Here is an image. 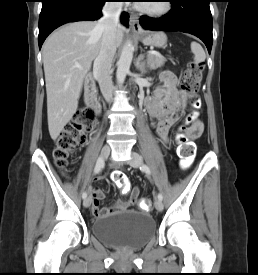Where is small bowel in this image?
Segmentation results:
<instances>
[{"label": "small bowel", "instance_id": "small-bowel-1", "mask_svg": "<svg viewBox=\"0 0 258 275\" xmlns=\"http://www.w3.org/2000/svg\"><path fill=\"white\" fill-rule=\"evenodd\" d=\"M160 80L162 84L156 88L153 97L147 99L145 104L158 138L164 145H168L170 143V130L184 112L187 95L177 89V78L172 72L168 70L160 72ZM202 131L203 123L197 119L187 130L185 138L187 140L196 139ZM138 196L139 189L135 187L132 189L128 200H117L113 205L101 208L100 202L104 198V190L96 187L90 196L92 213L96 217H102L117 211L129 210L137 202Z\"/></svg>", "mask_w": 258, "mask_h": 275}]
</instances>
